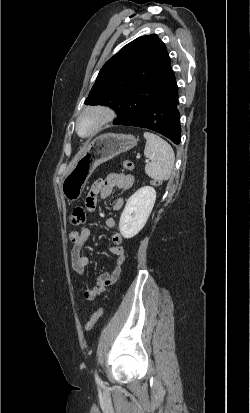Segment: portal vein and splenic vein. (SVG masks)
<instances>
[{"label": "portal vein and splenic vein", "mask_w": 250, "mask_h": 413, "mask_svg": "<svg viewBox=\"0 0 250 413\" xmlns=\"http://www.w3.org/2000/svg\"><path fill=\"white\" fill-rule=\"evenodd\" d=\"M136 158H137V159H139V158H140V155H139V154H137ZM147 162H148V161H147Z\"/></svg>", "instance_id": "1"}]
</instances>
